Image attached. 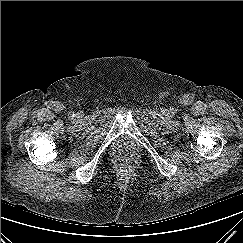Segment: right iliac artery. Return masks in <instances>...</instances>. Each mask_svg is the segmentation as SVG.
<instances>
[{"instance_id":"obj_1","label":"right iliac artery","mask_w":243,"mask_h":243,"mask_svg":"<svg viewBox=\"0 0 243 243\" xmlns=\"http://www.w3.org/2000/svg\"><path fill=\"white\" fill-rule=\"evenodd\" d=\"M69 115H70V117H74L75 114L73 112H70Z\"/></svg>"}]
</instances>
